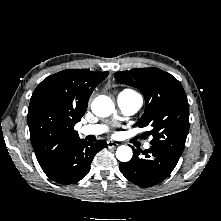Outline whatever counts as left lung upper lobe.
I'll list each match as a JSON object with an SVG mask.
<instances>
[{"instance_id": "left-lung-upper-lobe-1", "label": "left lung upper lobe", "mask_w": 221, "mask_h": 221, "mask_svg": "<svg viewBox=\"0 0 221 221\" xmlns=\"http://www.w3.org/2000/svg\"><path fill=\"white\" fill-rule=\"evenodd\" d=\"M122 84L138 88L145 98V113L140 127H151L152 146L181 156L189 129V104L181 83L171 74L155 67L116 72Z\"/></svg>"}]
</instances>
